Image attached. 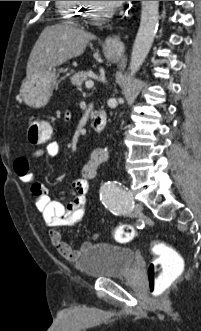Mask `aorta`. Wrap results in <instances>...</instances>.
I'll return each mask as SVG.
<instances>
[{"instance_id":"aorta-1","label":"aorta","mask_w":201,"mask_h":331,"mask_svg":"<svg viewBox=\"0 0 201 331\" xmlns=\"http://www.w3.org/2000/svg\"><path fill=\"white\" fill-rule=\"evenodd\" d=\"M141 3V21L132 48L129 65L130 76H134L145 61L158 27L159 1H142Z\"/></svg>"}]
</instances>
